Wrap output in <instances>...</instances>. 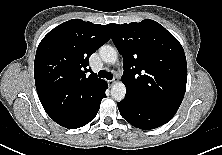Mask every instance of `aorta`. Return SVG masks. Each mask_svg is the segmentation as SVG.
I'll return each mask as SVG.
<instances>
[{
    "instance_id": "1",
    "label": "aorta",
    "mask_w": 222,
    "mask_h": 155,
    "mask_svg": "<svg viewBox=\"0 0 222 155\" xmlns=\"http://www.w3.org/2000/svg\"><path fill=\"white\" fill-rule=\"evenodd\" d=\"M99 54L101 59L108 64H114L117 61L118 54L117 50L110 46V45H103L100 50ZM126 94V87L123 82H115L111 87V96L116 101H121L124 99Z\"/></svg>"
}]
</instances>
